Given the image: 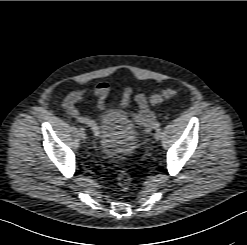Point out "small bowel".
I'll use <instances>...</instances> for the list:
<instances>
[{"label": "small bowel", "mask_w": 247, "mask_h": 245, "mask_svg": "<svg viewBox=\"0 0 247 245\" xmlns=\"http://www.w3.org/2000/svg\"><path fill=\"white\" fill-rule=\"evenodd\" d=\"M110 92V85L106 82H100L94 86L90 92V96L97 100L98 109L104 111L106 109L105 100ZM87 89H76L64 94L62 107L66 114L75 120L82 117L76 104L83 101L86 98ZM133 94V89L131 87H126L123 91L122 98L120 100V106L126 107L129 105L131 97ZM135 101L138 106V112L131 113L128 118L131 122L141 125L149 132L155 121V114L150 110L148 100L146 96L139 93L135 96Z\"/></svg>", "instance_id": "c3829d8e"}]
</instances>
